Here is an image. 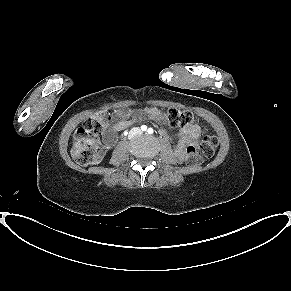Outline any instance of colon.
<instances>
[{
  "instance_id": "obj_1",
  "label": "colon",
  "mask_w": 291,
  "mask_h": 291,
  "mask_svg": "<svg viewBox=\"0 0 291 291\" xmlns=\"http://www.w3.org/2000/svg\"><path fill=\"white\" fill-rule=\"evenodd\" d=\"M162 117L174 127L183 128L195 121L191 112L170 108L160 112ZM110 120L106 112H99L90 117L76 131L71 148L72 158L80 165H92L102 159V151L97 144V137L105 132ZM219 139L216 135L208 134L204 137L199 148L189 146L185 154V163L193 167L200 165L205 158L211 157Z\"/></svg>"
}]
</instances>
